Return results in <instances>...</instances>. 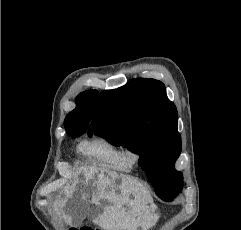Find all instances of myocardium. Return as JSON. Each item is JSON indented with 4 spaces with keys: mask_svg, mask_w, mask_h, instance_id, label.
Wrapping results in <instances>:
<instances>
[{
    "mask_svg": "<svg viewBox=\"0 0 241 230\" xmlns=\"http://www.w3.org/2000/svg\"><path fill=\"white\" fill-rule=\"evenodd\" d=\"M142 156L141 149L134 144L123 147V159L130 168L137 166L142 160Z\"/></svg>",
    "mask_w": 241,
    "mask_h": 230,
    "instance_id": "f54148a6",
    "label": "myocardium"
}]
</instances>
